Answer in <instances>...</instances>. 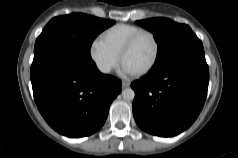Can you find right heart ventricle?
<instances>
[{
    "mask_svg": "<svg viewBox=\"0 0 238 158\" xmlns=\"http://www.w3.org/2000/svg\"><path fill=\"white\" fill-rule=\"evenodd\" d=\"M141 27L130 24H117L106 29L101 39L116 53L120 54L124 45L136 33L142 31Z\"/></svg>",
    "mask_w": 238,
    "mask_h": 158,
    "instance_id": "right-heart-ventricle-1",
    "label": "right heart ventricle"
}]
</instances>
